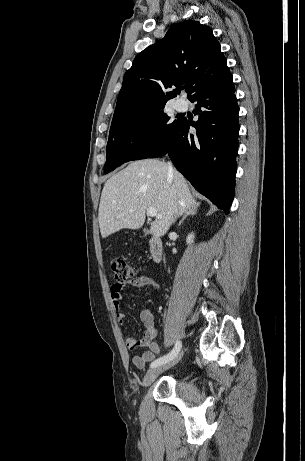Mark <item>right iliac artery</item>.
Segmentation results:
<instances>
[{"label": "right iliac artery", "instance_id": "obj_1", "mask_svg": "<svg viewBox=\"0 0 305 461\" xmlns=\"http://www.w3.org/2000/svg\"><path fill=\"white\" fill-rule=\"evenodd\" d=\"M181 347H182V344L180 341H176L175 343V346L174 348L172 349V351L170 353H168L167 355H164L158 359H156L155 361H153L150 365V368H155L157 366H160L164 363H167L171 360H173L177 355L178 353L180 352L181 350Z\"/></svg>", "mask_w": 305, "mask_h": 461}]
</instances>
